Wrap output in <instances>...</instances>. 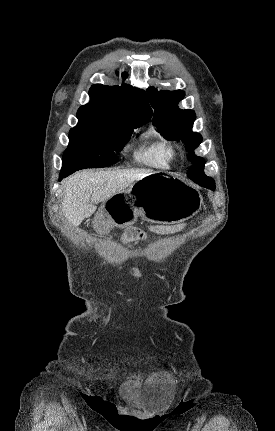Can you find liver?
<instances>
[{
  "mask_svg": "<svg viewBox=\"0 0 275 431\" xmlns=\"http://www.w3.org/2000/svg\"><path fill=\"white\" fill-rule=\"evenodd\" d=\"M152 173L145 169L77 172L64 183L62 212L68 222L77 227L96 211L95 204L125 191L133 182Z\"/></svg>",
  "mask_w": 275,
  "mask_h": 431,
  "instance_id": "1",
  "label": "liver"
}]
</instances>
